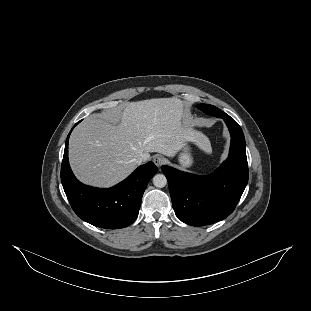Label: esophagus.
<instances>
[{"label":"esophagus","instance_id":"esophagus-1","mask_svg":"<svg viewBox=\"0 0 311 311\" xmlns=\"http://www.w3.org/2000/svg\"><path fill=\"white\" fill-rule=\"evenodd\" d=\"M153 162L155 163V165L157 167H161L162 165H164L167 162V160H166V158H164L162 156H154Z\"/></svg>","mask_w":311,"mask_h":311}]
</instances>
